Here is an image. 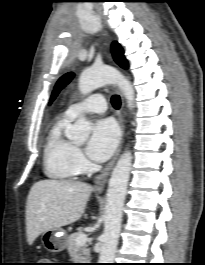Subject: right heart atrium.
Listing matches in <instances>:
<instances>
[{"label":"right heart atrium","instance_id":"obj_1","mask_svg":"<svg viewBox=\"0 0 205 265\" xmlns=\"http://www.w3.org/2000/svg\"><path fill=\"white\" fill-rule=\"evenodd\" d=\"M75 160L78 169L83 168L86 164L85 158L79 149H76Z\"/></svg>","mask_w":205,"mask_h":265}]
</instances>
